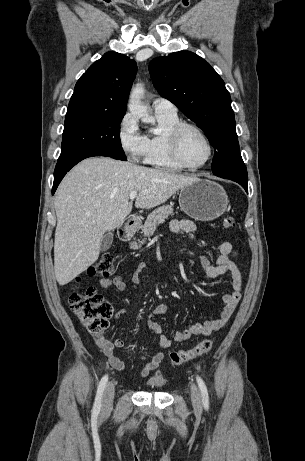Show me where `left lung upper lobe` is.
Masks as SVG:
<instances>
[{
    "mask_svg": "<svg viewBox=\"0 0 305 461\" xmlns=\"http://www.w3.org/2000/svg\"><path fill=\"white\" fill-rule=\"evenodd\" d=\"M154 87L207 135L215 149L213 174L247 179L230 94L216 71L189 51L157 57L149 64Z\"/></svg>",
    "mask_w": 305,
    "mask_h": 461,
    "instance_id": "obj_1",
    "label": "left lung upper lobe"
}]
</instances>
